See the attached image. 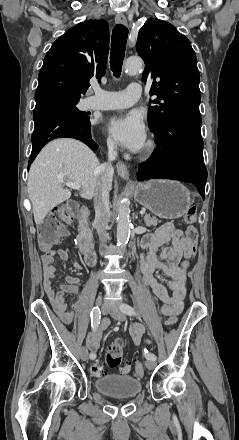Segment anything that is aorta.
Returning a JSON list of instances; mask_svg holds the SVG:
<instances>
[{"mask_svg": "<svg viewBox=\"0 0 239 440\" xmlns=\"http://www.w3.org/2000/svg\"><path fill=\"white\" fill-rule=\"evenodd\" d=\"M125 68L130 76H135L139 70H142L143 60L141 58H129V60H126ZM117 212V246L125 248L131 226L130 210L127 202H122L121 200Z\"/></svg>", "mask_w": 239, "mask_h": 440, "instance_id": "762f6f07", "label": "aorta"}]
</instances>
